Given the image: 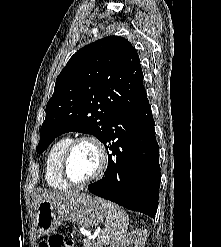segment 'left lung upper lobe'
<instances>
[{"instance_id": "obj_1", "label": "left lung upper lobe", "mask_w": 221, "mask_h": 247, "mask_svg": "<svg viewBox=\"0 0 221 247\" xmlns=\"http://www.w3.org/2000/svg\"><path fill=\"white\" fill-rule=\"evenodd\" d=\"M147 101L140 59L131 43L119 36L90 43L57 77L36 151L42 153L70 131L92 134L103 143L118 113Z\"/></svg>"}]
</instances>
